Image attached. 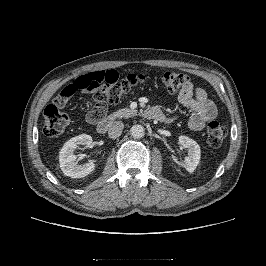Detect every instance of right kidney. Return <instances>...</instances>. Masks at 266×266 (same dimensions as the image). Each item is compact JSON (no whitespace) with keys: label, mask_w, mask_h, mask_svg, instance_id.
<instances>
[{"label":"right kidney","mask_w":266,"mask_h":266,"mask_svg":"<svg viewBox=\"0 0 266 266\" xmlns=\"http://www.w3.org/2000/svg\"><path fill=\"white\" fill-rule=\"evenodd\" d=\"M92 143V137L87 134H81L67 141L59 153L60 168L64 175L71 178H82L90 174L95 169V163L90 161L84 165H78L77 156L74 154L79 145L88 147Z\"/></svg>","instance_id":"right-kidney-1"}]
</instances>
